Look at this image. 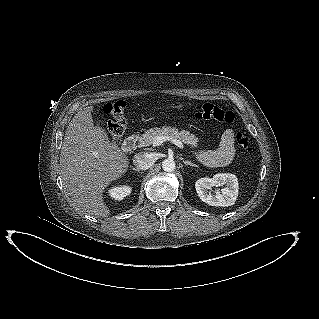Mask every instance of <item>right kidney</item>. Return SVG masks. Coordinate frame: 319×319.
<instances>
[{
    "label": "right kidney",
    "instance_id": "ca27d5eb",
    "mask_svg": "<svg viewBox=\"0 0 319 319\" xmlns=\"http://www.w3.org/2000/svg\"><path fill=\"white\" fill-rule=\"evenodd\" d=\"M131 193V187L126 185H121L117 187H112L109 190V195L115 200H123L124 197L128 196Z\"/></svg>",
    "mask_w": 319,
    "mask_h": 319
}]
</instances>
